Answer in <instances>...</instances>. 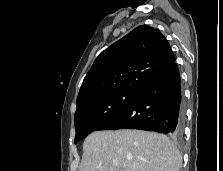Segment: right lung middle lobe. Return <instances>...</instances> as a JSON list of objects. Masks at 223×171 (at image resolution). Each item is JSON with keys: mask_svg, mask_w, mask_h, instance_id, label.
I'll list each match as a JSON object with an SVG mask.
<instances>
[{"mask_svg": "<svg viewBox=\"0 0 223 171\" xmlns=\"http://www.w3.org/2000/svg\"><path fill=\"white\" fill-rule=\"evenodd\" d=\"M138 92L119 91L101 96L78 108L75 112V143L118 115Z\"/></svg>", "mask_w": 223, "mask_h": 171, "instance_id": "obj_1", "label": "right lung middle lobe"}]
</instances>
